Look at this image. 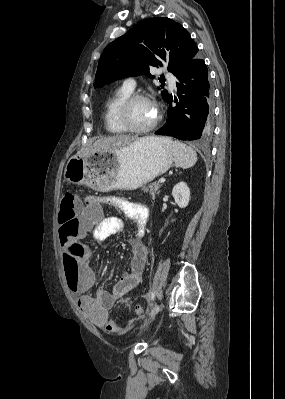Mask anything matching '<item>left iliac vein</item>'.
<instances>
[{
	"label": "left iliac vein",
	"instance_id": "left-iliac-vein-1",
	"mask_svg": "<svg viewBox=\"0 0 285 399\" xmlns=\"http://www.w3.org/2000/svg\"><path fill=\"white\" fill-rule=\"evenodd\" d=\"M161 309H162L161 304L155 305L149 314V318H153Z\"/></svg>",
	"mask_w": 285,
	"mask_h": 399
}]
</instances>
